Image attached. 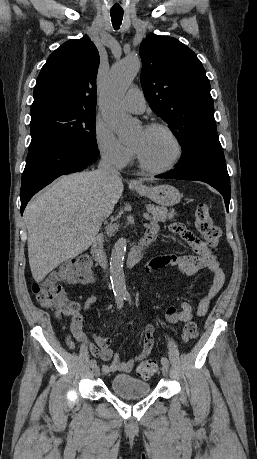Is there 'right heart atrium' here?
<instances>
[{
    "mask_svg": "<svg viewBox=\"0 0 257 459\" xmlns=\"http://www.w3.org/2000/svg\"><path fill=\"white\" fill-rule=\"evenodd\" d=\"M95 143L104 161L117 167L127 166L133 159L132 146L123 143L113 131L103 122L95 124Z\"/></svg>",
    "mask_w": 257,
    "mask_h": 459,
    "instance_id": "obj_1",
    "label": "right heart atrium"
}]
</instances>
